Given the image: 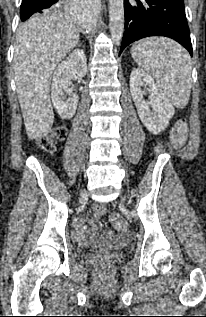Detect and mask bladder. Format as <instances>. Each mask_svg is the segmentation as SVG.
<instances>
[{
  "label": "bladder",
  "mask_w": 206,
  "mask_h": 317,
  "mask_svg": "<svg viewBox=\"0 0 206 317\" xmlns=\"http://www.w3.org/2000/svg\"><path fill=\"white\" fill-rule=\"evenodd\" d=\"M105 250V247L101 244L88 246L83 250V254L87 256H91L97 253H101Z\"/></svg>",
  "instance_id": "obj_1"
}]
</instances>
